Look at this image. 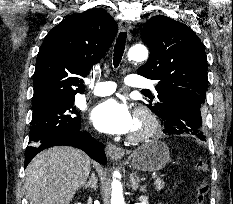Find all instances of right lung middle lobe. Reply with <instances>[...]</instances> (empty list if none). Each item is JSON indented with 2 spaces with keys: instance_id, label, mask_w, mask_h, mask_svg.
Listing matches in <instances>:
<instances>
[{
  "instance_id": "right-lung-middle-lobe-1",
  "label": "right lung middle lobe",
  "mask_w": 233,
  "mask_h": 204,
  "mask_svg": "<svg viewBox=\"0 0 233 204\" xmlns=\"http://www.w3.org/2000/svg\"><path fill=\"white\" fill-rule=\"evenodd\" d=\"M75 98L53 99L33 104L30 145L34 150L50 137L81 128V116L74 106Z\"/></svg>"
}]
</instances>
